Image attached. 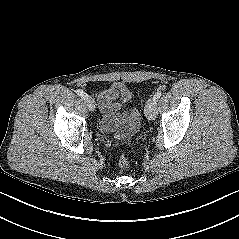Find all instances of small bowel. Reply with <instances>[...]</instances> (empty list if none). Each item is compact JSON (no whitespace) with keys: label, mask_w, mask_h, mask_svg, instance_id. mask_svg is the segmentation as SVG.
I'll list each match as a JSON object with an SVG mask.
<instances>
[{"label":"small bowel","mask_w":239,"mask_h":239,"mask_svg":"<svg viewBox=\"0 0 239 239\" xmlns=\"http://www.w3.org/2000/svg\"><path fill=\"white\" fill-rule=\"evenodd\" d=\"M99 108L102 113L100 126L102 130L109 132L113 129L114 121L117 120L115 114L120 109L118 103V90L115 87H108L97 94Z\"/></svg>","instance_id":"c3829d8e"}]
</instances>
